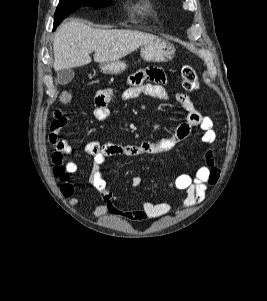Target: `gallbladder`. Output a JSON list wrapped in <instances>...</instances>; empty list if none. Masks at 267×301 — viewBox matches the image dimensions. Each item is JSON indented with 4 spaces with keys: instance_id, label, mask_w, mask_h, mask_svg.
Instances as JSON below:
<instances>
[{
    "instance_id": "1",
    "label": "gallbladder",
    "mask_w": 267,
    "mask_h": 301,
    "mask_svg": "<svg viewBox=\"0 0 267 301\" xmlns=\"http://www.w3.org/2000/svg\"><path fill=\"white\" fill-rule=\"evenodd\" d=\"M74 78V72L72 69H61L57 71L56 82L59 85H66Z\"/></svg>"
}]
</instances>
